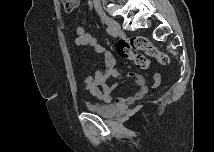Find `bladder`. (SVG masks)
Wrapping results in <instances>:
<instances>
[{"label": "bladder", "mask_w": 215, "mask_h": 152, "mask_svg": "<svg viewBox=\"0 0 215 152\" xmlns=\"http://www.w3.org/2000/svg\"><path fill=\"white\" fill-rule=\"evenodd\" d=\"M87 108L101 116H110L116 112L117 107L113 104H99L96 102L88 101Z\"/></svg>", "instance_id": "obj_1"}]
</instances>
